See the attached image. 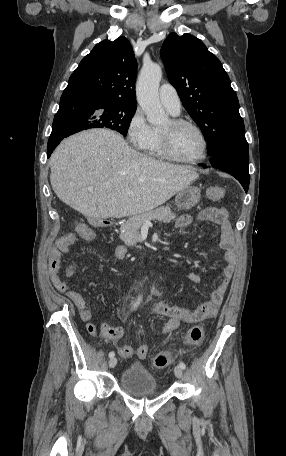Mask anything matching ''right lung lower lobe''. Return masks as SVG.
Wrapping results in <instances>:
<instances>
[{
    "instance_id": "obj_1",
    "label": "right lung lower lobe",
    "mask_w": 286,
    "mask_h": 456,
    "mask_svg": "<svg viewBox=\"0 0 286 456\" xmlns=\"http://www.w3.org/2000/svg\"><path fill=\"white\" fill-rule=\"evenodd\" d=\"M81 96L74 93H63L60 99V107L53 121L52 132L47 145V157L49 158L59 142L67 137L65 129L70 125L73 119L75 104Z\"/></svg>"
}]
</instances>
